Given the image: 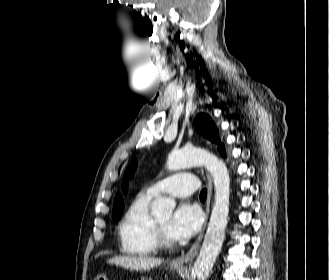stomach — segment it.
<instances>
[{"instance_id":"obj_1","label":"stomach","mask_w":329,"mask_h":280,"mask_svg":"<svg viewBox=\"0 0 329 280\" xmlns=\"http://www.w3.org/2000/svg\"><path fill=\"white\" fill-rule=\"evenodd\" d=\"M170 268H171L172 270H175V269L180 268V266H174V265H171ZM95 280H108V278L106 277L105 274H99V275H97V277L95 278Z\"/></svg>"}]
</instances>
